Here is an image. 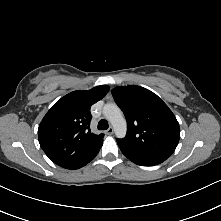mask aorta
I'll list each match as a JSON object with an SVG mask.
<instances>
[{
  "label": "aorta",
  "mask_w": 221,
  "mask_h": 221,
  "mask_svg": "<svg viewBox=\"0 0 221 221\" xmlns=\"http://www.w3.org/2000/svg\"><path fill=\"white\" fill-rule=\"evenodd\" d=\"M103 114L112 124L114 132L118 138H123L127 132L126 120L120 108L114 103L105 104Z\"/></svg>",
  "instance_id": "aorta-1"
}]
</instances>
